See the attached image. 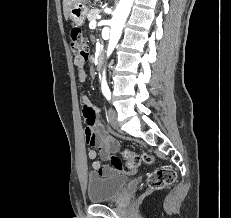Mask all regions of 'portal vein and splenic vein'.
Listing matches in <instances>:
<instances>
[{
	"instance_id": "18ae733b",
	"label": "portal vein and splenic vein",
	"mask_w": 231,
	"mask_h": 218,
	"mask_svg": "<svg viewBox=\"0 0 231 218\" xmlns=\"http://www.w3.org/2000/svg\"><path fill=\"white\" fill-rule=\"evenodd\" d=\"M97 24L96 20H92L89 24L90 27H95Z\"/></svg>"
}]
</instances>
